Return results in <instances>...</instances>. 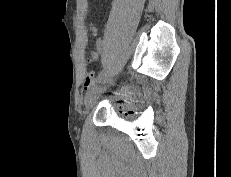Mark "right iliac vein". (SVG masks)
Wrapping results in <instances>:
<instances>
[{"instance_id": "63e3f726", "label": "right iliac vein", "mask_w": 231, "mask_h": 177, "mask_svg": "<svg viewBox=\"0 0 231 177\" xmlns=\"http://www.w3.org/2000/svg\"><path fill=\"white\" fill-rule=\"evenodd\" d=\"M112 82L111 78H107L102 85L95 86L86 93L84 99V105L86 109H89L96 101L97 95L105 90V84H110Z\"/></svg>"}]
</instances>
